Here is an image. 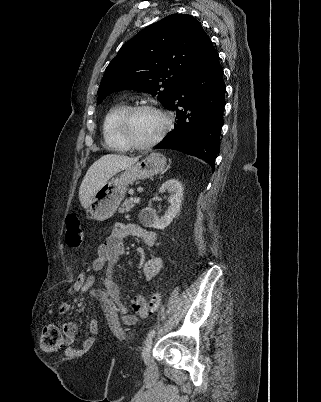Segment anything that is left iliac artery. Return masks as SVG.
Here are the masks:
<instances>
[{
    "label": "left iliac artery",
    "mask_w": 321,
    "mask_h": 402,
    "mask_svg": "<svg viewBox=\"0 0 321 402\" xmlns=\"http://www.w3.org/2000/svg\"><path fill=\"white\" fill-rule=\"evenodd\" d=\"M154 335H155V330L153 329L148 333L146 340L148 341V340L152 339V337Z\"/></svg>",
    "instance_id": "44dca946"
}]
</instances>
